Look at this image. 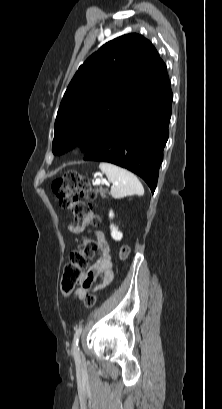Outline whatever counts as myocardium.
<instances>
[{
    "mask_svg": "<svg viewBox=\"0 0 222 409\" xmlns=\"http://www.w3.org/2000/svg\"><path fill=\"white\" fill-rule=\"evenodd\" d=\"M71 146H72L73 148L78 147V146H79V141H78V140L72 141Z\"/></svg>",
    "mask_w": 222,
    "mask_h": 409,
    "instance_id": "obj_1",
    "label": "myocardium"
}]
</instances>
